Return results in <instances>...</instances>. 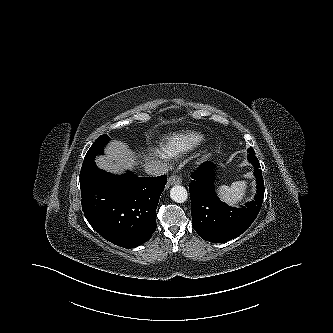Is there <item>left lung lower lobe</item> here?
<instances>
[{
    "mask_svg": "<svg viewBox=\"0 0 333 333\" xmlns=\"http://www.w3.org/2000/svg\"><path fill=\"white\" fill-rule=\"evenodd\" d=\"M248 159L254 166L257 194L254 200L241 208L222 203L213 189L214 167L204 162L192 175L189 185L192 226L206 241L223 243L244 233L256 219L264 198V181L255 152L248 149Z\"/></svg>",
    "mask_w": 333,
    "mask_h": 333,
    "instance_id": "left-lung-lower-lobe-1",
    "label": "left lung lower lobe"
}]
</instances>
